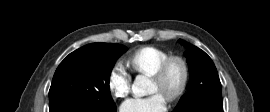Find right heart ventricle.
Here are the masks:
<instances>
[{"label":"right heart ventricle","mask_w":270,"mask_h":112,"mask_svg":"<svg viewBox=\"0 0 270 112\" xmlns=\"http://www.w3.org/2000/svg\"><path fill=\"white\" fill-rule=\"evenodd\" d=\"M170 54L158 47L145 46L129 55L128 66L138 74H153Z\"/></svg>","instance_id":"e07e8e85"}]
</instances>
